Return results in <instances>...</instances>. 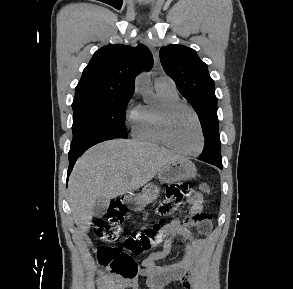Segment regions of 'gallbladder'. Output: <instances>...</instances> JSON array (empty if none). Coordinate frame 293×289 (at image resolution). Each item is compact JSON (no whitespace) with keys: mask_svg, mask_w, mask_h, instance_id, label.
I'll use <instances>...</instances> for the list:
<instances>
[{"mask_svg":"<svg viewBox=\"0 0 293 289\" xmlns=\"http://www.w3.org/2000/svg\"><path fill=\"white\" fill-rule=\"evenodd\" d=\"M109 199L108 198H105V197H100L98 198L95 203H94V206H93V214L94 216L96 217H102L106 210H107V207L109 205Z\"/></svg>","mask_w":293,"mask_h":289,"instance_id":"1","label":"gallbladder"}]
</instances>
